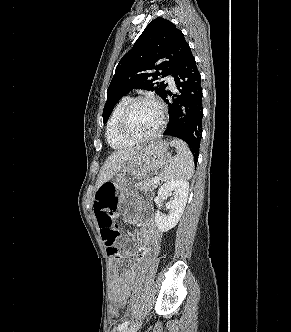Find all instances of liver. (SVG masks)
<instances>
[{"label": "liver", "instance_id": "obj_1", "mask_svg": "<svg viewBox=\"0 0 291 332\" xmlns=\"http://www.w3.org/2000/svg\"><path fill=\"white\" fill-rule=\"evenodd\" d=\"M142 147L128 148L118 150L112 153L105 161L96 182L97 189L104 183L111 180L115 174L120 172L125 166L126 162L130 160Z\"/></svg>", "mask_w": 291, "mask_h": 332}]
</instances>
